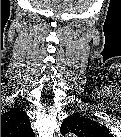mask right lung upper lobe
Wrapping results in <instances>:
<instances>
[{"label": "right lung upper lobe", "instance_id": "obj_1", "mask_svg": "<svg viewBox=\"0 0 121 137\" xmlns=\"http://www.w3.org/2000/svg\"><path fill=\"white\" fill-rule=\"evenodd\" d=\"M31 132L28 116L20 108H11L1 115V134H27Z\"/></svg>", "mask_w": 121, "mask_h": 137}]
</instances>
